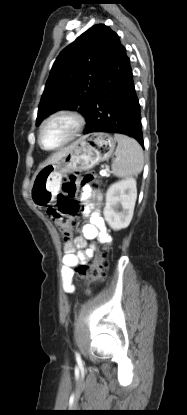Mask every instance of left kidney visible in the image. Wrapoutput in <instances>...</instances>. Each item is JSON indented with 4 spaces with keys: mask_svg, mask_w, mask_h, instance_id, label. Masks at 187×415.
<instances>
[{
    "mask_svg": "<svg viewBox=\"0 0 187 415\" xmlns=\"http://www.w3.org/2000/svg\"><path fill=\"white\" fill-rule=\"evenodd\" d=\"M137 199L136 180L126 178L112 184L106 193L104 218L113 230H121L130 224Z\"/></svg>",
    "mask_w": 187,
    "mask_h": 415,
    "instance_id": "obj_1",
    "label": "left kidney"
}]
</instances>
